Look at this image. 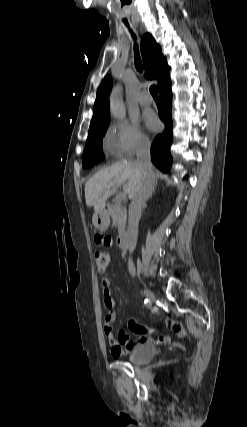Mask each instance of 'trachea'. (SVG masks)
<instances>
[{
	"instance_id": "3493384b",
	"label": "trachea",
	"mask_w": 247,
	"mask_h": 427,
	"mask_svg": "<svg viewBox=\"0 0 247 427\" xmlns=\"http://www.w3.org/2000/svg\"><path fill=\"white\" fill-rule=\"evenodd\" d=\"M132 36L135 38L134 34H132ZM134 59H135V65H136L137 70L142 72V64H141V59L139 56L137 44H135V46H134ZM150 93L153 96V98H158V92H157V88L155 86L150 87Z\"/></svg>"
}]
</instances>
